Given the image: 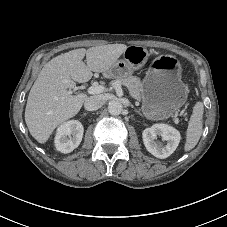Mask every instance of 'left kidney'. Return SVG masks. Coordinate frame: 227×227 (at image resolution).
Wrapping results in <instances>:
<instances>
[{"instance_id":"obj_1","label":"left kidney","mask_w":227,"mask_h":227,"mask_svg":"<svg viewBox=\"0 0 227 227\" xmlns=\"http://www.w3.org/2000/svg\"><path fill=\"white\" fill-rule=\"evenodd\" d=\"M157 136L167 141L165 146L156 141ZM142 138L146 149L155 157L164 159L169 157L178 147L181 136L178 130L166 124H154L146 128L142 133Z\"/></svg>"}]
</instances>
